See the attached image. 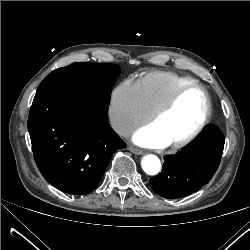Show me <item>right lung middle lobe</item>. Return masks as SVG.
Instances as JSON below:
<instances>
[{
	"mask_svg": "<svg viewBox=\"0 0 250 250\" xmlns=\"http://www.w3.org/2000/svg\"><path fill=\"white\" fill-rule=\"evenodd\" d=\"M119 74L120 67L115 64L73 63L52 71L37 92L63 87L109 105L111 88Z\"/></svg>",
	"mask_w": 250,
	"mask_h": 250,
	"instance_id": "obj_1",
	"label": "right lung middle lobe"
}]
</instances>
